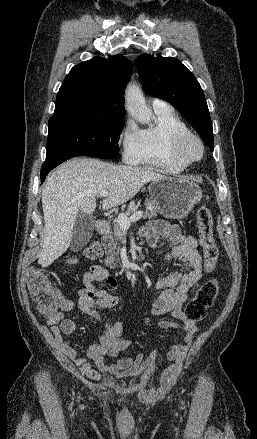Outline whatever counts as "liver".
<instances>
[{
  "mask_svg": "<svg viewBox=\"0 0 257 439\" xmlns=\"http://www.w3.org/2000/svg\"><path fill=\"white\" fill-rule=\"evenodd\" d=\"M163 177L149 168L92 158H75L60 165L47 178L42 193L45 226L38 263L48 267L66 252L78 212L91 215L101 191L109 192L102 202L103 209H109L132 199L150 181Z\"/></svg>",
  "mask_w": 257,
  "mask_h": 439,
  "instance_id": "1",
  "label": "liver"
}]
</instances>
